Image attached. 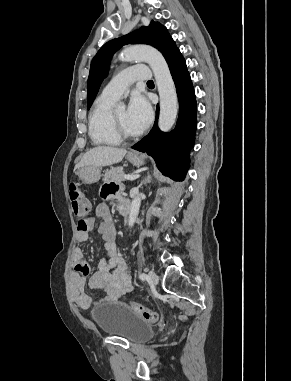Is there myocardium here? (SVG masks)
<instances>
[{"mask_svg":"<svg viewBox=\"0 0 291 381\" xmlns=\"http://www.w3.org/2000/svg\"><path fill=\"white\" fill-rule=\"evenodd\" d=\"M110 120H111V127H112L113 132L121 140H134V139H137L141 135V132H139L137 134H128L127 132H125L124 129L121 127V125H120V123L116 117L115 112L111 113Z\"/></svg>","mask_w":291,"mask_h":381,"instance_id":"obj_1","label":"myocardium"}]
</instances>
